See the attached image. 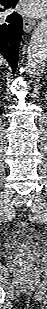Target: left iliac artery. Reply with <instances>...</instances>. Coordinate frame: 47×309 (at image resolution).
Instances as JSON below:
<instances>
[{
  "label": "left iliac artery",
  "instance_id": "1",
  "mask_svg": "<svg viewBox=\"0 0 47 309\" xmlns=\"http://www.w3.org/2000/svg\"><path fill=\"white\" fill-rule=\"evenodd\" d=\"M33 219L36 221H47V214L44 213L43 215L35 216Z\"/></svg>",
  "mask_w": 47,
  "mask_h": 309
}]
</instances>
